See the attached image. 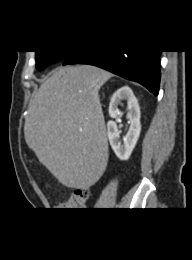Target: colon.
Instances as JSON below:
<instances>
[{"mask_svg":"<svg viewBox=\"0 0 192 260\" xmlns=\"http://www.w3.org/2000/svg\"><path fill=\"white\" fill-rule=\"evenodd\" d=\"M89 198V192L85 189L76 190L66 202L59 205L60 210H76L83 208Z\"/></svg>","mask_w":192,"mask_h":260,"instance_id":"obj_1","label":"colon"}]
</instances>
